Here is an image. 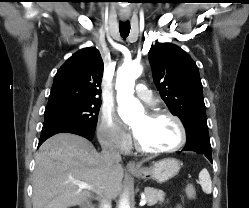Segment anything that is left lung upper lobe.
Returning a JSON list of instances; mask_svg holds the SVG:
<instances>
[{"label":"left lung upper lobe","instance_id":"left-lung-upper-lobe-1","mask_svg":"<svg viewBox=\"0 0 249 208\" xmlns=\"http://www.w3.org/2000/svg\"><path fill=\"white\" fill-rule=\"evenodd\" d=\"M154 83L170 112L180 117L187 139L209 137L203 86L191 57L171 43H157L148 53Z\"/></svg>","mask_w":249,"mask_h":208}]
</instances>
